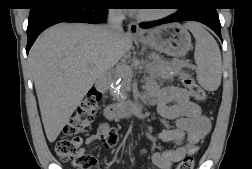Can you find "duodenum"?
Instances as JSON below:
<instances>
[{
    "mask_svg": "<svg viewBox=\"0 0 252 169\" xmlns=\"http://www.w3.org/2000/svg\"><path fill=\"white\" fill-rule=\"evenodd\" d=\"M96 87L100 93L106 92L102 82H99ZM141 111L142 104L140 103L113 104L106 108L105 116L110 121L121 120L129 116L138 115Z\"/></svg>",
    "mask_w": 252,
    "mask_h": 169,
    "instance_id": "410a0bca",
    "label": "duodenum"
}]
</instances>
